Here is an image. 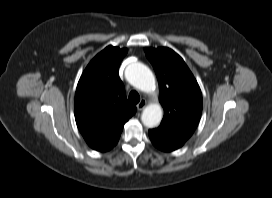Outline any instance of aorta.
Wrapping results in <instances>:
<instances>
[{
	"label": "aorta",
	"mask_w": 272,
	"mask_h": 198,
	"mask_svg": "<svg viewBox=\"0 0 272 198\" xmlns=\"http://www.w3.org/2000/svg\"><path fill=\"white\" fill-rule=\"evenodd\" d=\"M125 76L128 82L143 92L155 90V77L152 71L142 63H132L127 66ZM163 117V110L159 104H150L142 112L141 121L144 126L154 128Z\"/></svg>",
	"instance_id": "1"
}]
</instances>
